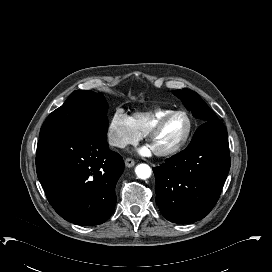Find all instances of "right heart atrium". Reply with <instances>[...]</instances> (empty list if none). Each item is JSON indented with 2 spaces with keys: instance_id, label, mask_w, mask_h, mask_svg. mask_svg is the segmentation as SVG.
<instances>
[{
  "instance_id": "d8ad5b80",
  "label": "right heart atrium",
  "mask_w": 272,
  "mask_h": 272,
  "mask_svg": "<svg viewBox=\"0 0 272 272\" xmlns=\"http://www.w3.org/2000/svg\"><path fill=\"white\" fill-rule=\"evenodd\" d=\"M108 142L110 145L123 148L136 143L141 133L132 117L122 110H116L107 124Z\"/></svg>"
}]
</instances>
